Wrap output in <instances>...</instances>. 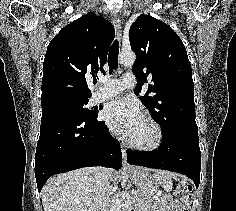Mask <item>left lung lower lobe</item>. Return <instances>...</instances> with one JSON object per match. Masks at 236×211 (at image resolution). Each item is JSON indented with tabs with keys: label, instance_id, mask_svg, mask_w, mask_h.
<instances>
[{
	"label": "left lung lower lobe",
	"instance_id": "0a47b994",
	"mask_svg": "<svg viewBox=\"0 0 236 211\" xmlns=\"http://www.w3.org/2000/svg\"><path fill=\"white\" fill-rule=\"evenodd\" d=\"M127 162L149 168L179 172L199 186L201 153L198 134L163 135L158 150L137 152L127 150Z\"/></svg>",
	"mask_w": 236,
	"mask_h": 211
}]
</instances>
